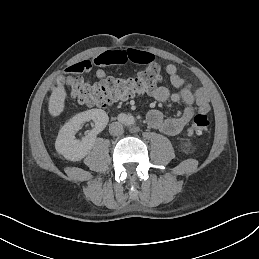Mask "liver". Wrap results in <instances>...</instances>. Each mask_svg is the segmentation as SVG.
<instances>
[{"mask_svg":"<svg viewBox=\"0 0 259 259\" xmlns=\"http://www.w3.org/2000/svg\"><path fill=\"white\" fill-rule=\"evenodd\" d=\"M70 81V78H67ZM67 91L63 84L56 86L49 97L47 112L51 118L59 117L65 111Z\"/></svg>","mask_w":259,"mask_h":259,"instance_id":"6515ba94","label":"liver"}]
</instances>
